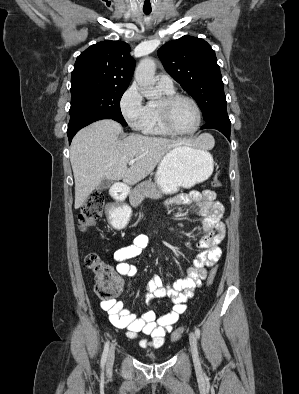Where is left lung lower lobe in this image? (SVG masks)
<instances>
[{"label":"left lung lower lobe","mask_w":299,"mask_h":394,"mask_svg":"<svg viewBox=\"0 0 299 394\" xmlns=\"http://www.w3.org/2000/svg\"><path fill=\"white\" fill-rule=\"evenodd\" d=\"M216 129L224 134L228 140H230V129H231V122L229 117H220L215 118L206 122L205 125L202 126L201 129Z\"/></svg>","instance_id":"obj_1"}]
</instances>
